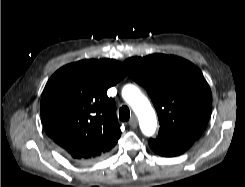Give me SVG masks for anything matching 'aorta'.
Wrapping results in <instances>:
<instances>
[{"label": "aorta", "instance_id": "1", "mask_svg": "<svg viewBox=\"0 0 245 187\" xmlns=\"http://www.w3.org/2000/svg\"><path fill=\"white\" fill-rule=\"evenodd\" d=\"M122 96L137 115L142 132L151 136L156 130L157 121L148 99L134 85H126L122 90Z\"/></svg>", "mask_w": 245, "mask_h": 187}]
</instances>
